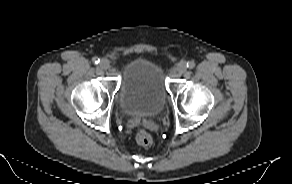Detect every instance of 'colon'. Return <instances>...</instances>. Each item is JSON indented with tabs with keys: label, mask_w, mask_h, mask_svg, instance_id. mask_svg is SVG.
Wrapping results in <instances>:
<instances>
[{
	"label": "colon",
	"mask_w": 292,
	"mask_h": 184,
	"mask_svg": "<svg viewBox=\"0 0 292 184\" xmlns=\"http://www.w3.org/2000/svg\"><path fill=\"white\" fill-rule=\"evenodd\" d=\"M135 139L137 144L144 147H148L153 143V138L151 134L144 129H141L136 133Z\"/></svg>",
	"instance_id": "5ec220e1"
}]
</instances>
